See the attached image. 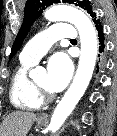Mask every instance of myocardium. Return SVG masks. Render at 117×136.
<instances>
[{
    "mask_svg": "<svg viewBox=\"0 0 117 136\" xmlns=\"http://www.w3.org/2000/svg\"><path fill=\"white\" fill-rule=\"evenodd\" d=\"M36 92L42 101H50L54 98V94L51 91L39 86L36 82H33Z\"/></svg>",
    "mask_w": 117,
    "mask_h": 136,
    "instance_id": "f54148a6",
    "label": "myocardium"
}]
</instances>
